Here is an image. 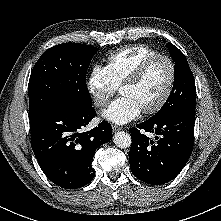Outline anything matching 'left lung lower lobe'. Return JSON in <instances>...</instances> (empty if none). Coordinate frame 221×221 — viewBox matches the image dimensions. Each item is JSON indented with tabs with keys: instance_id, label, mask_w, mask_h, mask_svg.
<instances>
[{
	"instance_id": "obj_1",
	"label": "left lung lower lobe",
	"mask_w": 221,
	"mask_h": 221,
	"mask_svg": "<svg viewBox=\"0 0 221 221\" xmlns=\"http://www.w3.org/2000/svg\"><path fill=\"white\" fill-rule=\"evenodd\" d=\"M195 114H174L162 120H146L129 130L132 145L129 162L141 181L160 185L174 179L188 161L194 145ZM140 129L155 133L156 142Z\"/></svg>"
}]
</instances>
